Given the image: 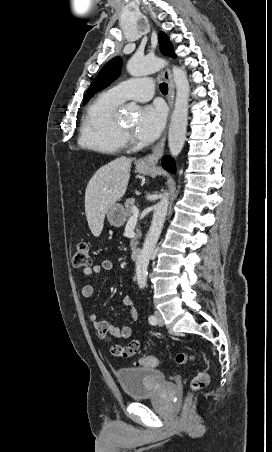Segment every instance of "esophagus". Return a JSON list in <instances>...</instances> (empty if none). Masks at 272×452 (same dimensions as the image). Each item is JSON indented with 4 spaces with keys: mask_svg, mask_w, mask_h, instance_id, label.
<instances>
[{
    "mask_svg": "<svg viewBox=\"0 0 272 452\" xmlns=\"http://www.w3.org/2000/svg\"><path fill=\"white\" fill-rule=\"evenodd\" d=\"M163 77L168 83L169 93H168V103L170 110L173 108L174 102V83L172 79V74L169 68L163 71ZM166 141V132L163 134L159 142L152 148V152L138 161V165L145 167H153L157 164L159 158L163 154L164 146Z\"/></svg>",
    "mask_w": 272,
    "mask_h": 452,
    "instance_id": "34e87169",
    "label": "esophagus"
}]
</instances>
